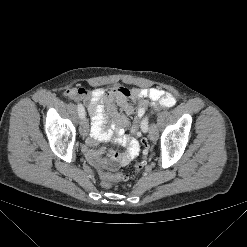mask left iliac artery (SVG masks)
Listing matches in <instances>:
<instances>
[{
  "instance_id": "44dca946",
  "label": "left iliac artery",
  "mask_w": 247,
  "mask_h": 247,
  "mask_svg": "<svg viewBox=\"0 0 247 247\" xmlns=\"http://www.w3.org/2000/svg\"><path fill=\"white\" fill-rule=\"evenodd\" d=\"M142 126H145V127H147V129H148V118H145V119L143 120ZM142 126H141V127H142Z\"/></svg>"
}]
</instances>
